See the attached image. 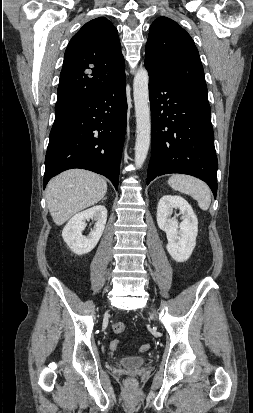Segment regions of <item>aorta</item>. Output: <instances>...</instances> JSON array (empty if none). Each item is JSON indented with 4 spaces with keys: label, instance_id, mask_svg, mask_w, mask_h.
Listing matches in <instances>:
<instances>
[{
    "label": "aorta",
    "instance_id": "obj_1",
    "mask_svg": "<svg viewBox=\"0 0 253 413\" xmlns=\"http://www.w3.org/2000/svg\"><path fill=\"white\" fill-rule=\"evenodd\" d=\"M149 75L140 67L133 81V96L136 116L135 165L140 168L146 160L151 140V120L149 105Z\"/></svg>",
    "mask_w": 253,
    "mask_h": 413
}]
</instances>
